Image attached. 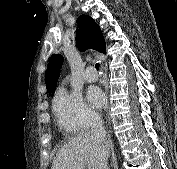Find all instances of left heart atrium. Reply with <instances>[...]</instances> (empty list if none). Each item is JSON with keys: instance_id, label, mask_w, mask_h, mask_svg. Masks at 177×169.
Segmentation results:
<instances>
[{"instance_id": "1", "label": "left heart atrium", "mask_w": 177, "mask_h": 169, "mask_svg": "<svg viewBox=\"0 0 177 169\" xmlns=\"http://www.w3.org/2000/svg\"><path fill=\"white\" fill-rule=\"evenodd\" d=\"M87 99L89 103L95 108H100L104 104V95L98 87H90L88 89Z\"/></svg>"}]
</instances>
